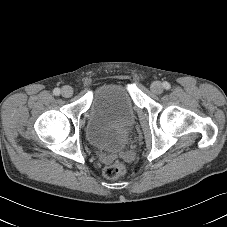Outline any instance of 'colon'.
<instances>
[{
	"instance_id": "5ec220e1",
	"label": "colon",
	"mask_w": 227,
	"mask_h": 227,
	"mask_svg": "<svg viewBox=\"0 0 227 227\" xmlns=\"http://www.w3.org/2000/svg\"><path fill=\"white\" fill-rule=\"evenodd\" d=\"M124 172H125V167L119 161H116L110 165H107L103 169V175L107 179H116V178L120 177L121 175H123Z\"/></svg>"
}]
</instances>
